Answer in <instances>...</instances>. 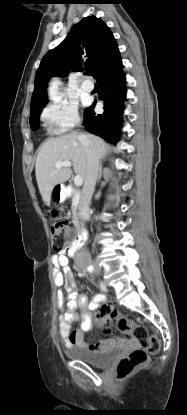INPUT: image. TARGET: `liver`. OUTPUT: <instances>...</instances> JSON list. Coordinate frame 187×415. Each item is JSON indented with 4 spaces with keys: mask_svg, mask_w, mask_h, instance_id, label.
Returning a JSON list of instances; mask_svg holds the SVG:
<instances>
[{
    "mask_svg": "<svg viewBox=\"0 0 187 415\" xmlns=\"http://www.w3.org/2000/svg\"><path fill=\"white\" fill-rule=\"evenodd\" d=\"M80 134L72 132L55 138L47 139L41 146L36 158L35 174L38 188L46 205L50 204L53 188L66 182L72 175L69 167L56 168L55 163L71 161L74 172L84 180L86 177V150L79 140ZM92 142L99 159L107 152V143L98 136L85 135Z\"/></svg>",
    "mask_w": 187,
    "mask_h": 415,
    "instance_id": "obj_1",
    "label": "liver"
}]
</instances>
